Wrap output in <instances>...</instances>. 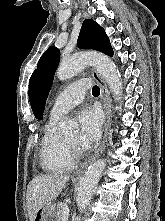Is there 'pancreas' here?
<instances>
[{"label":"pancreas","instance_id":"cf45deb5","mask_svg":"<svg viewBox=\"0 0 165 221\" xmlns=\"http://www.w3.org/2000/svg\"><path fill=\"white\" fill-rule=\"evenodd\" d=\"M63 206H64V204H62V203H58L56 206L55 214H56L57 221H62Z\"/></svg>","mask_w":165,"mask_h":221}]
</instances>
